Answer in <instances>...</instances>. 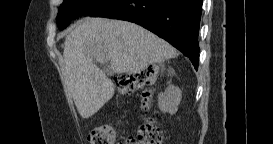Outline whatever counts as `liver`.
I'll return each instance as SVG.
<instances>
[{
    "mask_svg": "<svg viewBox=\"0 0 273 144\" xmlns=\"http://www.w3.org/2000/svg\"><path fill=\"white\" fill-rule=\"evenodd\" d=\"M168 42L134 23L86 17L64 42L67 87L82 118L93 116L114 94V85L95 64L110 63L117 74H134L174 58Z\"/></svg>",
    "mask_w": 273,
    "mask_h": 144,
    "instance_id": "1",
    "label": "liver"
}]
</instances>
